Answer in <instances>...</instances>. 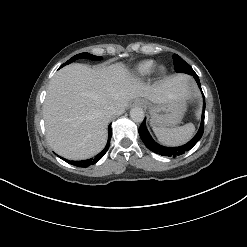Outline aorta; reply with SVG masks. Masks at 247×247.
<instances>
[{
  "label": "aorta",
  "mask_w": 247,
  "mask_h": 247,
  "mask_svg": "<svg viewBox=\"0 0 247 247\" xmlns=\"http://www.w3.org/2000/svg\"><path fill=\"white\" fill-rule=\"evenodd\" d=\"M130 117L134 122H141L144 119V111L142 108L134 107L130 111Z\"/></svg>",
  "instance_id": "1"
}]
</instances>
